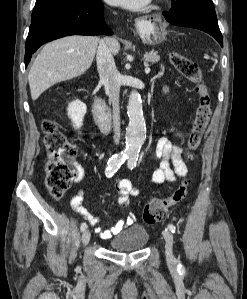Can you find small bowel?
Segmentation results:
<instances>
[{
	"label": "small bowel",
	"mask_w": 247,
	"mask_h": 299,
	"mask_svg": "<svg viewBox=\"0 0 247 299\" xmlns=\"http://www.w3.org/2000/svg\"><path fill=\"white\" fill-rule=\"evenodd\" d=\"M162 93L167 94L168 88L164 86ZM182 148L171 142L165 137H161L155 148V154L160 158L158 167L153 171L151 180L155 184H162L165 182H174L179 177H185L187 174L186 160L182 157ZM81 172H78V179H81ZM114 184L117 188L116 203L121 208H127L130 204L131 198L139 194V190L134 186L133 182L127 178H116ZM83 193L79 191L72 199V208L79 213L91 225L97 226L99 218L89 213L82 205ZM134 222L133 216H128L120 219L112 228L103 229L97 227L96 232L102 238H110L118 234L124 227Z\"/></svg>",
	"instance_id": "1"
}]
</instances>
